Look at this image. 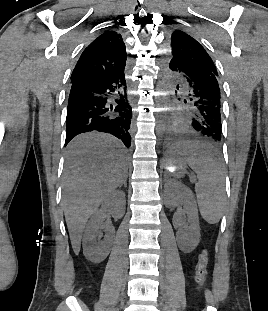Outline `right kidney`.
<instances>
[{"mask_svg": "<svg viewBox=\"0 0 268 311\" xmlns=\"http://www.w3.org/2000/svg\"><path fill=\"white\" fill-rule=\"evenodd\" d=\"M125 193L117 190L109 195L102 203L101 208L96 211L86 226L83 235L84 256L93 263L102 262L109 254L115 229L113 226L105 228L104 240L97 243L100 229L104 228V220L108 215L120 218L125 214Z\"/></svg>", "mask_w": 268, "mask_h": 311, "instance_id": "right-kidney-1", "label": "right kidney"}]
</instances>
